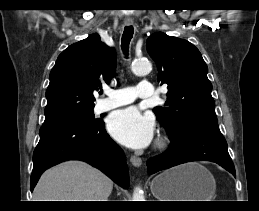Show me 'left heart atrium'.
<instances>
[{
    "label": "left heart atrium",
    "instance_id": "39dd6f15",
    "mask_svg": "<svg viewBox=\"0 0 259 211\" xmlns=\"http://www.w3.org/2000/svg\"><path fill=\"white\" fill-rule=\"evenodd\" d=\"M154 128L153 119L135 107L115 111L108 120V130L112 137L133 149L148 146L154 137Z\"/></svg>",
    "mask_w": 259,
    "mask_h": 211
}]
</instances>
